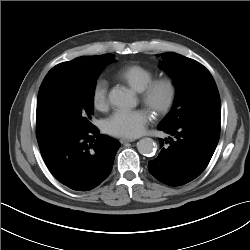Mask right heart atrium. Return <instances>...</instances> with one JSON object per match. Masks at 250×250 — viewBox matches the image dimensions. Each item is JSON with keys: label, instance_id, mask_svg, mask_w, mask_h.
<instances>
[{"label": "right heart atrium", "instance_id": "right-heart-atrium-1", "mask_svg": "<svg viewBox=\"0 0 250 250\" xmlns=\"http://www.w3.org/2000/svg\"><path fill=\"white\" fill-rule=\"evenodd\" d=\"M109 84L105 78H98L92 88V102L96 109L106 110L109 106L108 99Z\"/></svg>", "mask_w": 250, "mask_h": 250}]
</instances>
